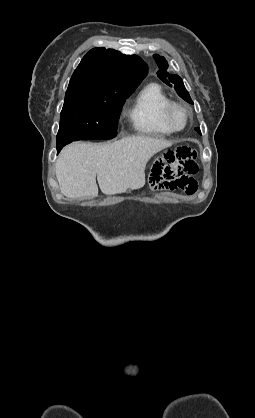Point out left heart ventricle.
Wrapping results in <instances>:
<instances>
[{"label": "left heart ventricle", "instance_id": "b2bd125f", "mask_svg": "<svg viewBox=\"0 0 255 418\" xmlns=\"http://www.w3.org/2000/svg\"><path fill=\"white\" fill-rule=\"evenodd\" d=\"M171 120L175 127L177 128L183 127L186 121V116H185L184 111L180 108L174 109L172 112Z\"/></svg>", "mask_w": 255, "mask_h": 418}]
</instances>
